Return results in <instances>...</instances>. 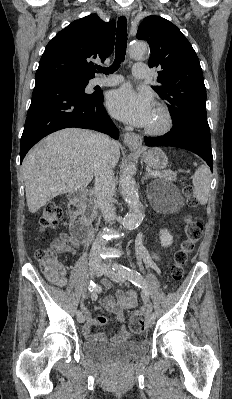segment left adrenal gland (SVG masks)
<instances>
[{"mask_svg":"<svg viewBox=\"0 0 232 399\" xmlns=\"http://www.w3.org/2000/svg\"><path fill=\"white\" fill-rule=\"evenodd\" d=\"M144 180H146L145 176H144V178H143L142 182H144Z\"/></svg>","mask_w":232,"mask_h":399,"instance_id":"a2214340","label":"left adrenal gland"}]
</instances>
